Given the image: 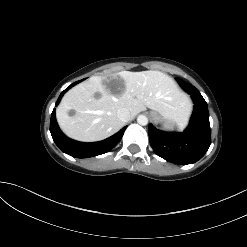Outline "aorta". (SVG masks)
I'll use <instances>...</instances> for the list:
<instances>
[{
  "mask_svg": "<svg viewBox=\"0 0 247 247\" xmlns=\"http://www.w3.org/2000/svg\"><path fill=\"white\" fill-rule=\"evenodd\" d=\"M137 123L139 125L145 126L148 124V118L145 115H139L137 117Z\"/></svg>",
  "mask_w": 247,
  "mask_h": 247,
  "instance_id": "762f6f07",
  "label": "aorta"
}]
</instances>
